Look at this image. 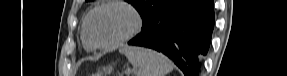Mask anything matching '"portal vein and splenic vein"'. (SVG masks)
<instances>
[{
	"label": "portal vein and splenic vein",
	"mask_w": 287,
	"mask_h": 76,
	"mask_svg": "<svg viewBox=\"0 0 287 76\" xmlns=\"http://www.w3.org/2000/svg\"><path fill=\"white\" fill-rule=\"evenodd\" d=\"M127 73H129V71H126V75H128Z\"/></svg>",
	"instance_id": "portal-vein-and-splenic-vein-1"
}]
</instances>
